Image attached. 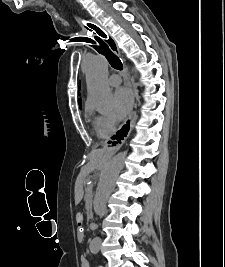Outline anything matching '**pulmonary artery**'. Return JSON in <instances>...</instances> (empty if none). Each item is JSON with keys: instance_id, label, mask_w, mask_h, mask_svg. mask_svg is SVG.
I'll return each instance as SVG.
<instances>
[{"instance_id": "obj_1", "label": "pulmonary artery", "mask_w": 225, "mask_h": 267, "mask_svg": "<svg viewBox=\"0 0 225 267\" xmlns=\"http://www.w3.org/2000/svg\"><path fill=\"white\" fill-rule=\"evenodd\" d=\"M121 82V78L117 74H112L108 78V83L111 86H118Z\"/></svg>"}]
</instances>
